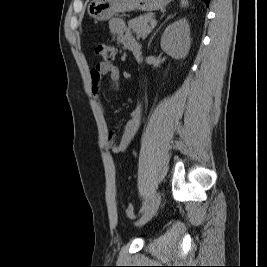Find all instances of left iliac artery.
<instances>
[{
    "mask_svg": "<svg viewBox=\"0 0 267 267\" xmlns=\"http://www.w3.org/2000/svg\"><path fill=\"white\" fill-rule=\"evenodd\" d=\"M148 204H149V200H146V201L143 203V205H142V207H141V209H140V213H143V212L145 211V209H146V207L148 206Z\"/></svg>",
    "mask_w": 267,
    "mask_h": 267,
    "instance_id": "left-iliac-artery-1",
    "label": "left iliac artery"
}]
</instances>
